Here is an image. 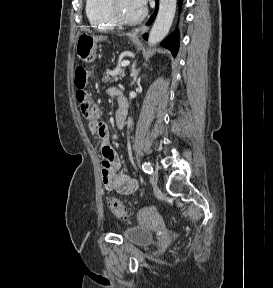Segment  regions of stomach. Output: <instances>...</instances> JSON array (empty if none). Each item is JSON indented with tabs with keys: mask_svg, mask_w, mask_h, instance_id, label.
I'll use <instances>...</instances> for the list:
<instances>
[{
	"mask_svg": "<svg viewBox=\"0 0 273 288\" xmlns=\"http://www.w3.org/2000/svg\"><path fill=\"white\" fill-rule=\"evenodd\" d=\"M98 37L83 33L76 43V54L79 59L87 62L95 54L97 48Z\"/></svg>",
	"mask_w": 273,
	"mask_h": 288,
	"instance_id": "stomach-1",
	"label": "stomach"
}]
</instances>
